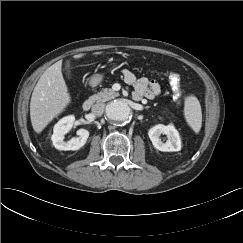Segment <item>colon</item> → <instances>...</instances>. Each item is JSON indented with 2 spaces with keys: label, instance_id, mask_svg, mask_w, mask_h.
Listing matches in <instances>:
<instances>
[{
  "label": "colon",
  "instance_id": "5ec220e1",
  "mask_svg": "<svg viewBox=\"0 0 243 243\" xmlns=\"http://www.w3.org/2000/svg\"><path fill=\"white\" fill-rule=\"evenodd\" d=\"M168 79L172 90L177 96H179L181 94L180 76L177 73H170Z\"/></svg>",
  "mask_w": 243,
  "mask_h": 243
}]
</instances>
